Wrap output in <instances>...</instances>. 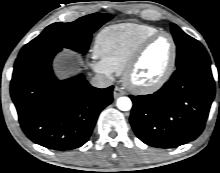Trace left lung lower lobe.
I'll list each match as a JSON object with an SVG mask.
<instances>
[{
	"label": "left lung lower lobe",
	"instance_id": "obj_1",
	"mask_svg": "<svg viewBox=\"0 0 220 173\" xmlns=\"http://www.w3.org/2000/svg\"><path fill=\"white\" fill-rule=\"evenodd\" d=\"M214 95L210 63L176 70L158 92L130 95L131 126L142 142L153 147L186 144L203 131Z\"/></svg>",
	"mask_w": 220,
	"mask_h": 173
}]
</instances>
